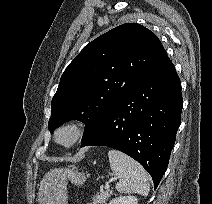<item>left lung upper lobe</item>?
I'll list each match as a JSON object with an SVG mask.
<instances>
[{"instance_id":"5c2ea615","label":"left lung upper lobe","mask_w":212,"mask_h":204,"mask_svg":"<svg viewBox=\"0 0 212 204\" xmlns=\"http://www.w3.org/2000/svg\"><path fill=\"white\" fill-rule=\"evenodd\" d=\"M160 40L136 23L120 25L87 44L62 74L51 103V133L63 122L85 124L84 141L103 116L165 58Z\"/></svg>"}]
</instances>
